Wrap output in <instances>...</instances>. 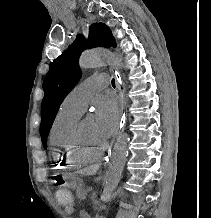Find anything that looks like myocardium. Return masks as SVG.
<instances>
[{
  "instance_id": "myocardium-1",
  "label": "myocardium",
  "mask_w": 211,
  "mask_h": 218,
  "mask_svg": "<svg viewBox=\"0 0 211 218\" xmlns=\"http://www.w3.org/2000/svg\"><path fill=\"white\" fill-rule=\"evenodd\" d=\"M82 122L79 121L73 132V148L81 156L99 158L101 157L110 147L108 141L105 142L101 147H93L85 142L82 135Z\"/></svg>"
}]
</instances>
